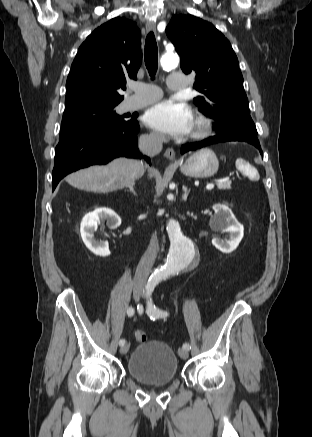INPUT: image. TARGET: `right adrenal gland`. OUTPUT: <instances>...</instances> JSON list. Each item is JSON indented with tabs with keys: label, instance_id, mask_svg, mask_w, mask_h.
Wrapping results in <instances>:
<instances>
[{
	"label": "right adrenal gland",
	"instance_id": "obj_1",
	"mask_svg": "<svg viewBox=\"0 0 312 437\" xmlns=\"http://www.w3.org/2000/svg\"><path fill=\"white\" fill-rule=\"evenodd\" d=\"M128 190H129L131 193H133L134 195H137V193H136L135 190H134V185L128 187Z\"/></svg>",
	"mask_w": 312,
	"mask_h": 437
}]
</instances>
